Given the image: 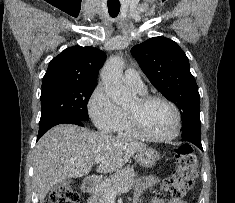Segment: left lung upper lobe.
<instances>
[{"instance_id":"left-lung-upper-lobe-1","label":"left lung upper lobe","mask_w":235,"mask_h":203,"mask_svg":"<svg viewBox=\"0 0 235 203\" xmlns=\"http://www.w3.org/2000/svg\"><path fill=\"white\" fill-rule=\"evenodd\" d=\"M131 52L153 86L179 108L182 135L201 136L200 95L184 51L171 39L153 37Z\"/></svg>"}]
</instances>
